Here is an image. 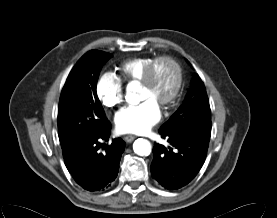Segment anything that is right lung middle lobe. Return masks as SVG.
<instances>
[{"instance_id": "right-lung-middle-lobe-1", "label": "right lung middle lobe", "mask_w": 277, "mask_h": 218, "mask_svg": "<svg viewBox=\"0 0 277 218\" xmlns=\"http://www.w3.org/2000/svg\"><path fill=\"white\" fill-rule=\"evenodd\" d=\"M111 57L103 51H89L66 79L58 111V135L63 155L102 132L109 123L96 86L103 64Z\"/></svg>"}]
</instances>
